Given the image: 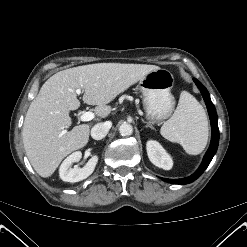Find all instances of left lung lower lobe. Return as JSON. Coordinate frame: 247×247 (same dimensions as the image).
<instances>
[{
	"label": "left lung lower lobe",
	"instance_id": "1",
	"mask_svg": "<svg viewBox=\"0 0 247 247\" xmlns=\"http://www.w3.org/2000/svg\"><path fill=\"white\" fill-rule=\"evenodd\" d=\"M194 82L197 85V87L200 89L202 96L204 98V101L206 103L210 121H211V128H212V137H211V143L209 146V149L207 150L203 161L200 165V167L189 177L187 178H182V179H166L162 178V180L169 182V183H174V184H188L193 181H195L208 167L210 164L213 156L215 155L217 148H218V143H219V129H218V121H217V113L215 110V107L210 99V95L207 91V89L202 85L201 82H199L197 79L194 78Z\"/></svg>",
	"mask_w": 247,
	"mask_h": 247
}]
</instances>
